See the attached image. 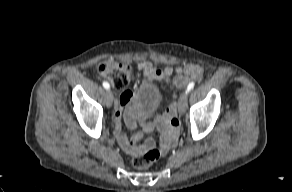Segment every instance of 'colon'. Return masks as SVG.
Returning <instances> with one entry per match:
<instances>
[{
  "instance_id": "5ec220e1",
  "label": "colon",
  "mask_w": 292,
  "mask_h": 192,
  "mask_svg": "<svg viewBox=\"0 0 292 192\" xmlns=\"http://www.w3.org/2000/svg\"><path fill=\"white\" fill-rule=\"evenodd\" d=\"M95 70L106 77L118 90H124L131 80V68L124 63H103L97 65ZM159 156V150L150 148L144 154L135 156L132 164L137 169H145L152 165Z\"/></svg>"
}]
</instances>
